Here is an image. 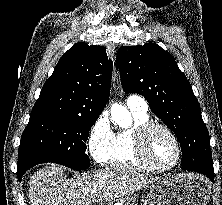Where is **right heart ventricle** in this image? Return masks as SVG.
Listing matches in <instances>:
<instances>
[{"label": "right heart ventricle", "mask_w": 222, "mask_h": 205, "mask_svg": "<svg viewBox=\"0 0 222 205\" xmlns=\"http://www.w3.org/2000/svg\"><path fill=\"white\" fill-rule=\"evenodd\" d=\"M130 110L133 124L113 134L112 144L105 161L111 166L153 172L155 170L139 158L135 147V131L140 125L149 121V116L147 112Z\"/></svg>", "instance_id": "right-heart-ventricle-1"}]
</instances>
